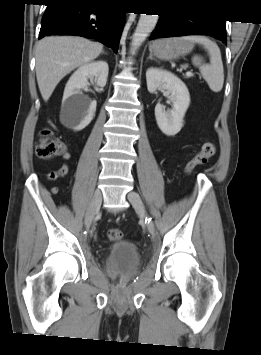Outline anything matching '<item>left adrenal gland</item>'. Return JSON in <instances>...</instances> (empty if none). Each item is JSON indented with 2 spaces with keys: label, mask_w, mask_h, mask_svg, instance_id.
<instances>
[{
  "label": "left adrenal gland",
  "mask_w": 261,
  "mask_h": 355,
  "mask_svg": "<svg viewBox=\"0 0 261 355\" xmlns=\"http://www.w3.org/2000/svg\"><path fill=\"white\" fill-rule=\"evenodd\" d=\"M148 59H150V60H155V59L152 57V54L149 55Z\"/></svg>",
  "instance_id": "a2214340"
}]
</instances>
